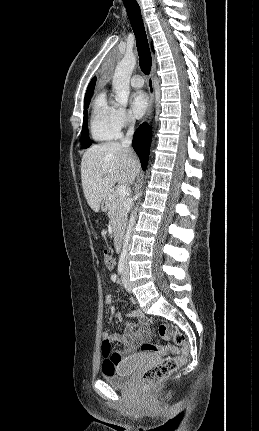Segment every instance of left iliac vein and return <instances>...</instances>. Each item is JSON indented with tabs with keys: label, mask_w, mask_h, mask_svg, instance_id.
I'll return each mask as SVG.
<instances>
[{
	"label": "left iliac vein",
	"mask_w": 259,
	"mask_h": 431,
	"mask_svg": "<svg viewBox=\"0 0 259 431\" xmlns=\"http://www.w3.org/2000/svg\"><path fill=\"white\" fill-rule=\"evenodd\" d=\"M122 283H123L125 289L128 292H131L132 288H131L130 281H129V267H128V265H126L124 268L123 275H122Z\"/></svg>",
	"instance_id": "1"
}]
</instances>
